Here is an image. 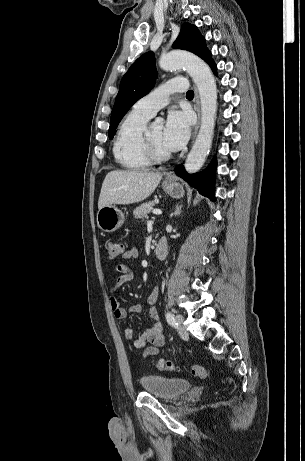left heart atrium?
<instances>
[{
	"label": "left heart atrium",
	"instance_id": "39dd6f15",
	"mask_svg": "<svg viewBox=\"0 0 305 461\" xmlns=\"http://www.w3.org/2000/svg\"><path fill=\"white\" fill-rule=\"evenodd\" d=\"M191 122L188 112L169 113L163 128V143L168 151H178L185 146L190 137Z\"/></svg>",
	"mask_w": 305,
	"mask_h": 461
}]
</instances>
